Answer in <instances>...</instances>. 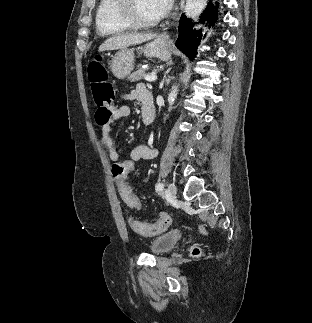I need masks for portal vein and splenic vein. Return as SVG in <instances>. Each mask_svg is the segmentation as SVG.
I'll list each match as a JSON object with an SVG mask.
<instances>
[{
    "label": "portal vein and splenic vein",
    "mask_w": 312,
    "mask_h": 323,
    "mask_svg": "<svg viewBox=\"0 0 312 323\" xmlns=\"http://www.w3.org/2000/svg\"><path fill=\"white\" fill-rule=\"evenodd\" d=\"M146 82H155L157 80V76H146Z\"/></svg>",
    "instance_id": "obj_1"
}]
</instances>
